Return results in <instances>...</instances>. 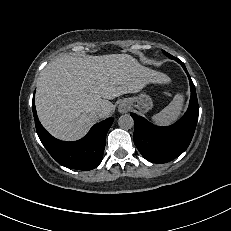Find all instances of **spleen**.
<instances>
[{
    "instance_id": "spleen-1",
    "label": "spleen",
    "mask_w": 231,
    "mask_h": 231,
    "mask_svg": "<svg viewBox=\"0 0 231 231\" xmlns=\"http://www.w3.org/2000/svg\"><path fill=\"white\" fill-rule=\"evenodd\" d=\"M183 108V95L177 94L173 98V101L166 106L159 113L153 115L151 117L152 121L160 126H166L173 122H175L182 111Z\"/></svg>"
}]
</instances>
